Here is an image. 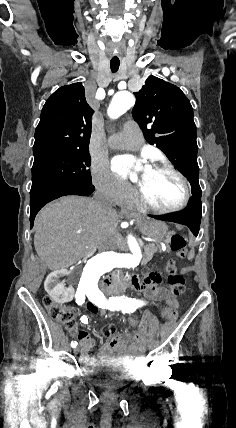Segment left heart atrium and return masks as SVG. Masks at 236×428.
Returning a JSON list of instances; mask_svg holds the SVG:
<instances>
[{
	"label": "left heart atrium",
	"instance_id": "39dd6f15",
	"mask_svg": "<svg viewBox=\"0 0 236 428\" xmlns=\"http://www.w3.org/2000/svg\"><path fill=\"white\" fill-rule=\"evenodd\" d=\"M134 165V160L129 157L117 158L113 161V170L116 174L126 177Z\"/></svg>",
	"mask_w": 236,
	"mask_h": 428
}]
</instances>
